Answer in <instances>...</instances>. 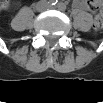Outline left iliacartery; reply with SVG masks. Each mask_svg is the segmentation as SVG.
Here are the masks:
<instances>
[{
	"instance_id": "left-iliac-artery-1",
	"label": "left iliac artery",
	"mask_w": 103,
	"mask_h": 103,
	"mask_svg": "<svg viewBox=\"0 0 103 103\" xmlns=\"http://www.w3.org/2000/svg\"><path fill=\"white\" fill-rule=\"evenodd\" d=\"M57 7L62 10V11H65L66 10V4L65 3H62V2H59Z\"/></svg>"
}]
</instances>
